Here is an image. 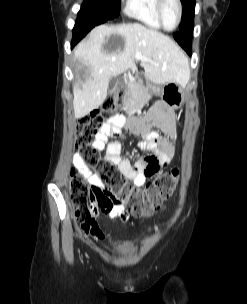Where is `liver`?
Wrapping results in <instances>:
<instances>
[{"label": "liver", "instance_id": "liver-1", "mask_svg": "<svg viewBox=\"0 0 247 304\" xmlns=\"http://www.w3.org/2000/svg\"><path fill=\"white\" fill-rule=\"evenodd\" d=\"M120 44L110 46V40ZM141 53L147 60L135 57ZM74 59L85 68L82 81L73 88L76 119L98 108L107 97L111 77L135 70L140 60L144 76L154 84L175 82L184 86L190 78L188 58L178 45L156 30L141 24L100 25L74 49Z\"/></svg>", "mask_w": 247, "mask_h": 304}]
</instances>
